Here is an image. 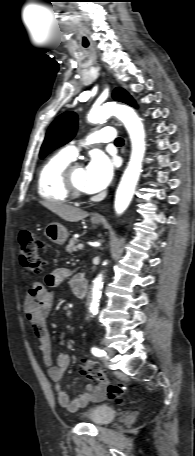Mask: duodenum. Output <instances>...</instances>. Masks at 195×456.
<instances>
[{
  "label": "duodenum",
  "instance_id": "410a0bca",
  "mask_svg": "<svg viewBox=\"0 0 195 456\" xmlns=\"http://www.w3.org/2000/svg\"><path fill=\"white\" fill-rule=\"evenodd\" d=\"M71 288L76 297L83 299L88 291V282L83 274L76 275L71 282Z\"/></svg>",
  "mask_w": 195,
  "mask_h": 456
}]
</instances>
